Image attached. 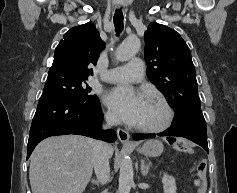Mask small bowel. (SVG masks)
Masks as SVG:
<instances>
[{"label":"small bowel","mask_w":237,"mask_h":193,"mask_svg":"<svg viewBox=\"0 0 237 193\" xmlns=\"http://www.w3.org/2000/svg\"><path fill=\"white\" fill-rule=\"evenodd\" d=\"M193 185L199 190L200 182H199L198 179H194V180H193Z\"/></svg>","instance_id":"c3829d8e"}]
</instances>
